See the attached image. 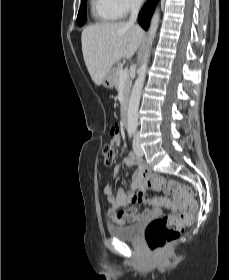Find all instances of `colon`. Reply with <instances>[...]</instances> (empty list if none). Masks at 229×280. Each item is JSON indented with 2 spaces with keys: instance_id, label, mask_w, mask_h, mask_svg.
I'll use <instances>...</instances> for the list:
<instances>
[{
  "instance_id": "obj_1",
  "label": "colon",
  "mask_w": 229,
  "mask_h": 280,
  "mask_svg": "<svg viewBox=\"0 0 229 280\" xmlns=\"http://www.w3.org/2000/svg\"><path fill=\"white\" fill-rule=\"evenodd\" d=\"M118 126L112 128L116 132ZM106 165H112L115 159V149L112 145L106 144L102 150ZM149 187L162 189L172 196L180 206L179 213H170L151 221L145 231V239L149 249L153 252H160L170 242L175 240L185 226L192 220L197 208L192 189L176 180L164 179L159 174H150L143 177ZM142 195L138 194L132 198L134 203H140Z\"/></svg>"
}]
</instances>
